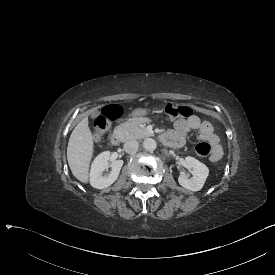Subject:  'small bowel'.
I'll return each instance as SVG.
<instances>
[{"mask_svg": "<svg viewBox=\"0 0 275 275\" xmlns=\"http://www.w3.org/2000/svg\"><path fill=\"white\" fill-rule=\"evenodd\" d=\"M175 128V132H169L166 134L171 135L176 133L181 137L182 142L184 141L185 136L188 134V132H190L191 130H198V138L201 140L208 141L209 143H211L213 147L211 160L217 161L221 158L223 153L222 147L219 143L218 136L214 133L213 127L209 122H202L198 116L194 115L190 117L188 120L176 121Z\"/></svg>", "mask_w": 275, "mask_h": 275, "instance_id": "c3829d8e", "label": "small bowel"}]
</instances>
